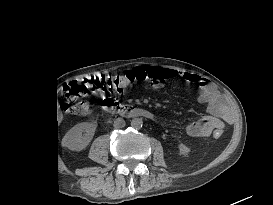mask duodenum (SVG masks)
<instances>
[{
	"mask_svg": "<svg viewBox=\"0 0 273 205\" xmlns=\"http://www.w3.org/2000/svg\"><path fill=\"white\" fill-rule=\"evenodd\" d=\"M105 105L109 111L119 113L123 116H127V117L142 116V117H148V118L152 117V115L145 109L137 108V107H133L129 105H122L113 100H106Z\"/></svg>",
	"mask_w": 273,
	"mask_h": 205,
	"instance_id": "410a0bca",
	"label": "duodenum"
}]
</instances>
